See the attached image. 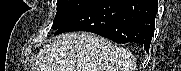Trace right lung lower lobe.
<instances>
[{"label": "right lung lower lobe", "mask_w": 181, "mask_h": 71, "mask_svg": "<svg viewBox=\"0 0 181 71\" xmlns=\"http://www.w3.org/2000/svg\"><path fill=\"white\" fill-rule=\"evenodd\" d=\"M157 10V0H94L54 35L89 31L117 43H137L148 52Z\"/></svg>", "instance_id": "obj_1"}]
</instances>
